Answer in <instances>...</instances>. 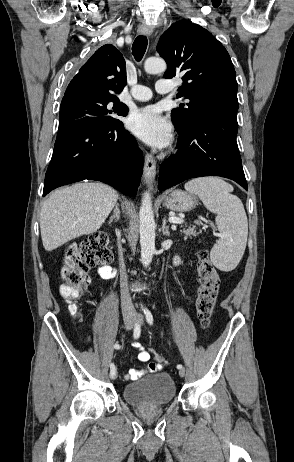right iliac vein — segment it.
Masks as SVG:
<instances>
[{
    "label": "right iliac vein",
    "instance_id": "right-iliac-vein-1",
    "mask_svg": "<svg viewBox=\"0 0 294 462\" xmlns=\"http://www.w3.org/2000/svg\"><path fill=\"white\" fill-rule=\"evenodd\" d=\"M133 322H134V317L133 315H126L124 317V326L126 330H130L133 327ZM110 377L112 379H115L117 377V374L115 373L113 376L110 374Z\"/></svg>",
    "mask_w": 294,
    "mask_h": 462
}]
</instances>
